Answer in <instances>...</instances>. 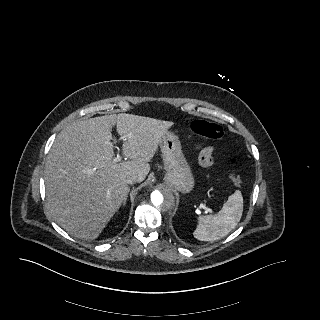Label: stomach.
<instances>
[{
    "mask_svg": "<svg viewBox=\"0 0 320 320\" xmlns=\"http://www.w3.org/2000/svg\"><path fill=\"white\" fill-rule=\"evenodd\" d=\"M165 181L182 193L193 190L195 180L191 167L187 162L179 138L172 132L166 131L160 142Z\"/></svg>",
    "mask_w": 320,
    "mask_h": 320,
    "instance_id": "0dacf381",
    "label": "stomach"
}]
</instances>
